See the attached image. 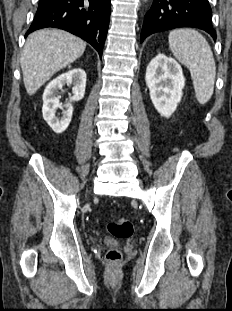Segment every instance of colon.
Here are the masks:
<instances>
[{
    "instance_id": "obj_1",
    "label": "colon",
    "mask_w": 232,
    "mask_h": 311,
    "mask_svg": "<svg viewBox=\"0 0 232 311\" xmlns=\"http://www.w3.org/2000/svg\"><path fill=\"white\" fill-rule=\"evenodd\" d=\"M108 232L120 239H126L133 234V224L126 218H118L110 221L107 225ZM106 260L111 265H116L122 260V253L118 249H110L106 252Z\"/></svg>"
}]
</instances>
